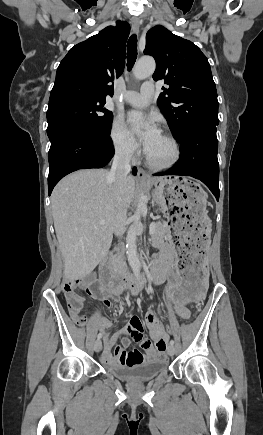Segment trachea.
Returning <instances> with one entry per match:
<instances>
[{"label": "trachea", "mask_w": 263, "mask_h": 435, "mask_svg": "<svg viewBox=\"0 0 263 435\" xmlns=\"http://www.w3.org/2000/svg\"><path fill=\"white\" fill-rule=\"evenodd\" d=\"M137 59V36L131 35L127 43V67L130 71Z\"/></svg>", "instance_id": "obj_1"}]
</instances>
